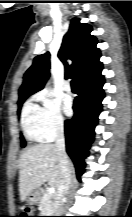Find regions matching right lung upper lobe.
Segmentation results:
<instances>
[{
    "mask_svg": "<svg viewBox=\"0 0 132 217\" xmlns=\"http://www.w3.org/2000/svg\"><path fill=\"white\" fill-rule=\"evenodd\" d=\"M91 31L90 25L73 18L58 53L59 59L65 65V78H75L78 84L102 76L103 66L99 61L101 53L96 47L97 39L90 35ZM67 59H71L73 63L68 65ZM49 69V53L35 57L33 64L24 74V81L19 89V99L27 98L43 89L50 75Z\"/></svg>",
    "mask_w": 132,
    "mask_h": 217,
    "instance_id": "1",
    "label": "right lung upper lobe"
}]
</instances>
